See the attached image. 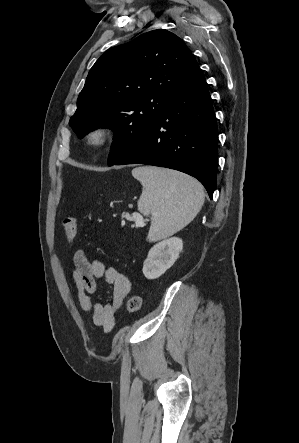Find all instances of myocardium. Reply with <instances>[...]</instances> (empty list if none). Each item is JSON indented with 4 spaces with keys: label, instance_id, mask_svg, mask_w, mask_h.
<instances>
[{
    "label": "myocardium",
    "instance_id": "1",
    "mask_svg": "<svg viewBox=\"0 0 299 443\" xmlns=\"http://www.w3.org/2000/svg\"><path fill=\"white\" fill-rule=\"evenodd\" d=\"M113 137V130L108 125L98 124L86 132L85 143L91 150L98 151L108 146Z\"/></svg>",
    "mask_w": 299,
    "mask_h": 443
}]
</instances>
